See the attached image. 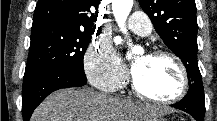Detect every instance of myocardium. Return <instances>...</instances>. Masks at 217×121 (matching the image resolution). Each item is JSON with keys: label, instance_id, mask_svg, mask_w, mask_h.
I'll use <instances>...</instances> for the list:
<instances>
[{"label": "myocardium", "instance_id": "1", "mask_svg": "<svg viewBox=\"0 0 217 121\" xmlns=\"http://www.w3.org/2000/svg\"><path fill=\"white\" fill-rule=\"evenodd\" d=\"M148 56L152 58H168L173 62V64L178 70L179 77H180L179 88L172 96L168 98H157L144 92L139 87L133 73H131L130 81L134 93L142 100L155 103V104L169 105L181 100L187 94L189 89V76H188L187 69L184 63L182 62V60L176 54L168 50H155L151 52Z\"/></svg>", "mask_w": 217, "mask_h": 121}]
</instances>
